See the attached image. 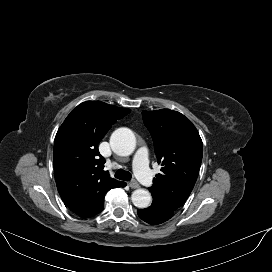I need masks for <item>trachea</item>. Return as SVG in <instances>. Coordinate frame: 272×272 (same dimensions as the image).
Segmentation results:
<instances>
[{
	"mask_svg": "<svg viewBox=\"0 0 272 272\" xmlns=\"http://www.w3.org/2000/svg\"><path fill=\"white\" fill-rule=\"evenodd\" d=\"M115 177L124 181H130L132 178L131 173L123 169H118L115 173Z\"/></svg>",
	"mask_w": 272,
	"mask_h": 272,
	"instance_id": "trachea-1",
	"label": "trachea"
}]
</instances>
